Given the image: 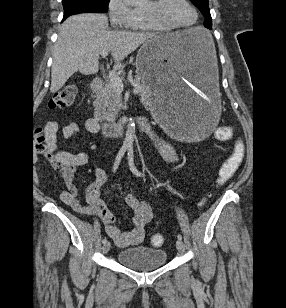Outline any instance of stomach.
<instances>
[{
  "label": "stomach",
  "mask_w": 286,
  "mask_h": 308,
  "mask_svg": "<svg viewBox=\"0 0 286 308\" xmlns=\"http://www.w3.org/2000/svg\"><path fill=\"white\" fill-rule=\"evenodd\" d=\"M182 33L146 40L136 57V72L151 92L147 107L165 132H174L183 144H207L203 132L219 119L217 48L203 28Z\"/></svg>",
  "instance_id": "0dacf381"
}]
</instances>
